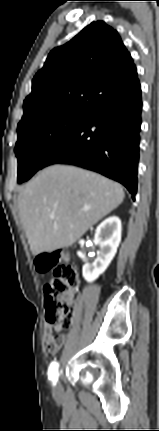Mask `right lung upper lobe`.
I'll return each mask as SVG.
<instances>
[{
  "label": "right lung upper lobe",
  "mask_w": 159,
  "mask_h": 431,
  "mask_svg": "<svg viewBox=\"0 0 159 431\" xmlns=\"http://www.w3.org/2000/svg\"><path fill=\"white\" fill-rule=\"evenodd\" d=\"M137 81L136 66L118 32L102 21L92 22L50 52L33 78L17 130L60 112L89 114Z\"/></svg>",
  "instance_id": "cb5924a9"
}]
</instances>
